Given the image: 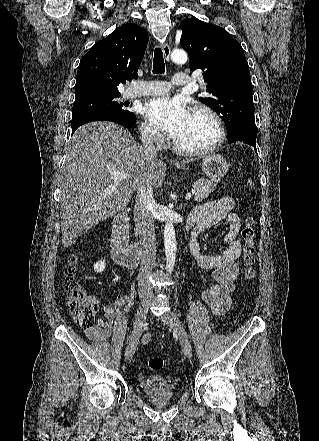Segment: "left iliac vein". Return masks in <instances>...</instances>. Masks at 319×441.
I'll use <instances>...</instances> for the list:
<instances>
[{
  "label": "left iliac vein",
  "mask_w": 319,
  "mask_h": 441,
  "mask_svg": "<svg viewBox=\"0 0 319 441\" xmlns=\"http://www.w3.org/2000/svg\"><path fill=\"white\" fill-rule=\"evenodd\" d=\"M162 321L167 323L178 335L182 349L184 354L188 357H192V346L189 341L188 335L183 328V325L181 324L178 317L172 312L167 311L164 313L161 317Z\"/></svg>",
  "instance_id": "left-iliac-vein-1"
}]
</instances>
